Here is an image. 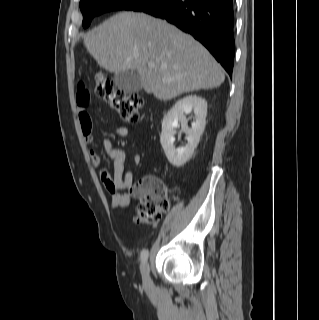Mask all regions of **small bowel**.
Returning a JSON list of instances; mask_svg holds the SVG:
<instances>
[{"label":"small bowel","instance_id":"1","mask_svg":"<svg viewBox=\"0 0 319 320\" xmlns=\"http://www.w3.org/2000/svg\"><path fill=\"white\" fill-rule=\"evenodd\" d=\"M90 101L91 98L87 88L80 87L76 93L77 120L83 132L84 140L89 147L92 163L101 171L103 185L111 195L112 207L124 208L129 206L134 197H137L133 173L125 167L127 154L123 149L114 147L110 139H103V150L105 155L113 162V169L110 172L104 166L103 156L94 146V137L92 135L93 118L89 110ZM127 133L128 129L123 125H119L114 130L116 137H125ZM132 161L134 164L139 165L141 156L134 154ZM122 190H128V193L122 194Z\"/></svg>","mask_w":319,"mask_h":320}]
</instances>
